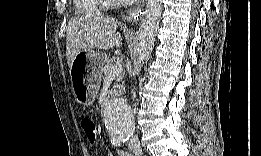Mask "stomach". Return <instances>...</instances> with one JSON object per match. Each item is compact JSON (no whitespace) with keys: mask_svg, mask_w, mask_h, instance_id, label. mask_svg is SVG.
Here are the masks:
<instances>
[{"mask_svg":"<svg viewBox=\"0 0 261 156\" xmlns=\"http://www.w3.org/2000/svg\"><path fill=\"white\" fill-rule=\"evenodd\" d=\"M106 60L107 56L103 53L86 51L80 52L74 58L70 73L72 88L78 103L84 106L94 103L101 83V69Z\"/></svg>","mask_w":261,"mask_h":156,"instance_id":"obj_1","label":"stomach"}]
</instances>
